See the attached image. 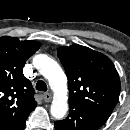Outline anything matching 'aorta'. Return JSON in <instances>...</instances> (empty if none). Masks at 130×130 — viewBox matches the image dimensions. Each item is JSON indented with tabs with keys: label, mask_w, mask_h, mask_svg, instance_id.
Here are the masks:
<instances>
[{
	"label": "aorta",
	"mask_w": 130,
	"mask_h": 130,
	"mask_svg": "<svg viewBox=\"0 0 130 130\" xmlns=\"http://www.w3.org/2000/svg\"><path fill=\"white\" fill-rule=\"evenodd\" d=\"M34 66L49 81L54 91L51 105V115L55 119H62L68 111L67 77L58 63L45 54H38L33 58Z\"/></svg>",
	"instance_id": "762f6f07"
}]
</instances>
